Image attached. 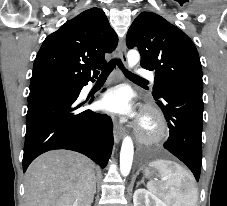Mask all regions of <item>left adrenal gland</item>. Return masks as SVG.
Returning <instances> with one entry per match:
<instances>
[{"instance_id":"obj_1","label":"left adrenal gland","mask_w":227,"mask_h":206,"mask_svg":"<svg viewBox=\"0 0 227 206\" xmlns=\"http://www.w3.org/2000/svg\"><path fill=\"white\" fill-rule=\"evenodd\" d=\"M141 183L144 184V178H142L141 181H139L136 186L138 187Z\"/></svg>"}]
</instances>
